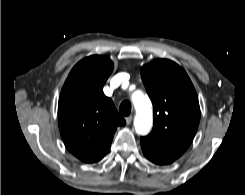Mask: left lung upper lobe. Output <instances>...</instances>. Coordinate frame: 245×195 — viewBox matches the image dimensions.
I'll use <instances>...</instances> for the list:
<instances>
[{
    "mask_svg": "<svg viewBox=\"0 0 245 195\" xmlns=\"http://www.w3.org/2000/svg\"><path fill=\"white\" fill-rule=\"evenodd\" d=\"M141 77L154 108V125L147 137L186 150L200 121L197 93L188 75L175 62L157 59L141 68Z\"/></svg>",
    "mask_w": 245,
    "mask_h": 195,
    "instance_id": "obj_1",
    "label": "left lung upper lobe"
}]
</instances>
